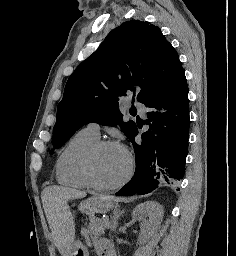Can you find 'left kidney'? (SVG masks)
I'll return each mask as SVG.
<instances>
[{"instance_id": "5707ae66", "label": "left kidney", "mask_w": 236, "mask_h": 256, "mask_svg": "<svg viewBox=\"0 0 236 256\" xmlns=\"http://www.w3.org/2000/svg\"><path fill=\"white\" fill-rule=\"evenodd\" d=\"M132 218L142 222V230L138 242L139 244H145L154 232H158L163 220V208L158 202H144V204H139L134 208Z\"/></svg>"}]
</instances>
